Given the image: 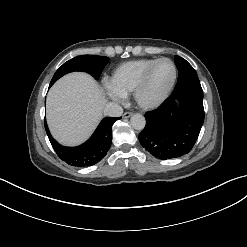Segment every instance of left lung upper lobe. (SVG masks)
<instances>
[{
  "label": "left lung upper lobe",
  "instance_id": "left-lung-upper-lobe-1",
  "mask_svg": "<svg viewBox=\"0 0 247 247\" xmlns=\"http://www.w3.org/2000/svg\"><path fill=\"white\" fill-rule=\"evenodd\" d=\"M175 63L179 71L176 87L185 84H200L196 71L185 59L176 56Z\"/></svg>",
  "mask_w": 247,
  "mask_h": 247
}]
</instances>
